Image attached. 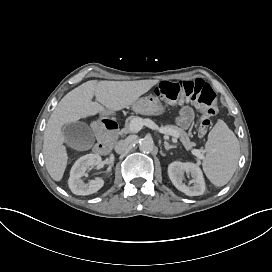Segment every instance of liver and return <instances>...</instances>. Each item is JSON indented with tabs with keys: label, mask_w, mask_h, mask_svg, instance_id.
I'll list each match as a JSON object with an SVG mask.
<instances>
[{
	"label": "liver",
	"mask_w": 272,
	"mask_h": 272,
	"mask_svg": "<svg viewBox=\"0 0 272 272\" xmlns=\"http://www.w3.org/2000/svg\"><path fill=\"white\" fill-rule=\"evenodd\" d=\"M160 79L133 81L90 80L67 93L52 112L44 131L43 155L51 178L62 180L68 163L62 126L110 111L119 112L134 104L159 84ZM94 96L97 102H93ZM101 104H99V103Z\"/></svg>",
	"instance_id": "6515ba94"
}]
</instances>
